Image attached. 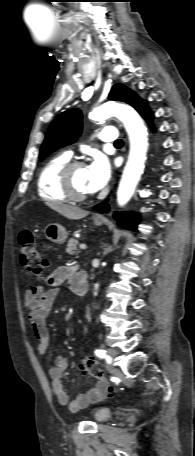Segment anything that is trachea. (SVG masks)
Here are the masks:
<instances>
[{
  "instance_id": "3493384b",
  "label": "trachea",
  "mask_w": 195,
  "mask_h": 456,
  "mask_svg": "<svg viewBox=\"0 0 195 456\" xmlns=\"http://www.w3.org/2000/svg\"><path fill=\"white\" fill-rule=\"evenodd\" d=\"M123 144V141L121 139H118L116 142H115V145H122Z\"/></svg>"
}]
</instances>
